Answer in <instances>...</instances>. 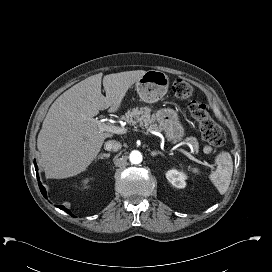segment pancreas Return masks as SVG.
<instances>
[{
	"instance_id": "obj_1",
	"label": "pancreas",
	"mask_w": 272,
	"mask_h": 272,
	"mask_svg": "<svg viewBox=\"0 0 272 272\" xmlns=\"http://www.w3.org/2000/svg\"><path fill=\"white\" fill-rule=\"evenodd\" d=\"M151 110L148 107L133 108L128 110L124 116V120L129 125H139L150 130H159L157 124H155V117L150 114ZM189 143L193 145L194 150L197 152L199 149V144L196 138L188 137L186 139Z\"/></svg>"
}]
</instances>
